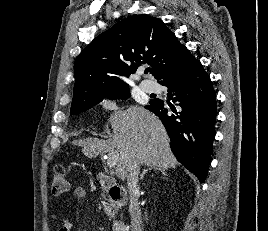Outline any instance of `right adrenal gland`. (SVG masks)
<instances>
[{
	"mask_svg": "<svg viewBox=\"0 0 268 231\" xmlns=\"http://www.w3.org/2000/svg\"><path fill=\"white\" fill-rule=\"evenodd\" d=\"M150 170H154L155 172L158 173L161 172V174L166 175L165 169L156 166H150L149 168L143 170V172L140 175V180H143L145 174Z\"/></svg>",
	"mask_w": 268,
	"mask_h": 231,
	"instance_id": "obj_1",
	"label": "right adrenal gland"
}]
</instances>
